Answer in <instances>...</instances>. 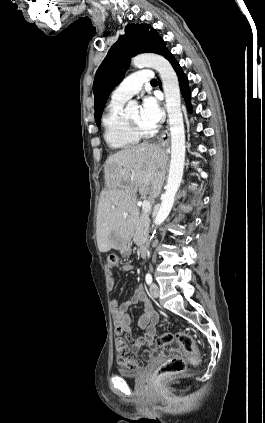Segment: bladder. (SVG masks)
I'll list each match as a JSON object with an SVG mask.
<instances>
[{
    "label": "bladder",
    "mask_w": 265,
    "mask_h": 423,
    "mask_svg": "<svg viewBox=\"0 0 265 423\" xmlns=\"http://www.w3.org/2000/svg\"><path fill=\"white\" fill-rule=\"evenodd\" d=\"M146 369V366L138 369L119 368L118 373L123 377L140 378L144 375Z\"/></svg>",
    "instance_id": "1"
}]
</instances>
